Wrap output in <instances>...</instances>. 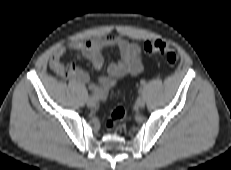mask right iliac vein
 <instances>
[{
	"mask_svg": "<svg viewBox=\"0 0 231 170\" xmlns=\"http://www.w3.org/2000/svg\"><path fill=\"white\" fill-rule=\"evenodd\" d=\"M97 105V102L94 98H88L87 99V106L90 107V108H94L96 107Z\"/></svg>",
	"mask_w": 231,
	"mask_h": 170,
	"instance_id": "1",
	"label": "right iliac vein"
}]
</instances>
